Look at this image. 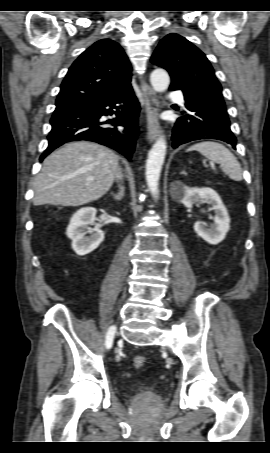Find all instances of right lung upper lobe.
Masks as SVG:
<instances>
[{
    "label": "right lung upper lobe",
    "instance_id": "obj_1",
    "mask_svg": "<svg viewBox=\"0 0 270 453\" xmlns=\"http://www.w3.org/2000/svg\"><path fill=\"white\" fill-rule=\"evenodd\" d=\"M131 81V65L121 46L102 39L86 49L69 68L56 106L108 97Z\"/></svg>",
    "mask_w": 270,
    "mask_h": 453
}]
</instances>
